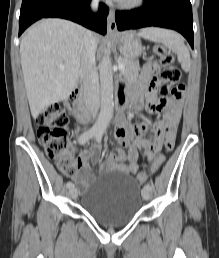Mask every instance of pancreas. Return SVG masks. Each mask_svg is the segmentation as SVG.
I'll use <instances>...</instances> for the list:
<instances>
[{"label":"pancreas","mask_w":219,"mask_h":258,"mask_svg":"<svg viewBox=\"0 0 219 258\" xmlns=\"http://www.w3.org/2000/svg\"><path fill=\"white\" fill-rule=\"evenodd\" d=\"M120 63L124 65V69L121 71V75H123L125 79H135L138 77L140 70L138 61L129 58H122Z\"/></svg>","instance_id":"cf45deb5"}]
</instances>
